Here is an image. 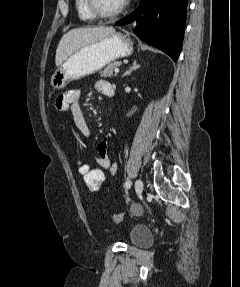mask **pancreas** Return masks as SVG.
Instances as JSON below:
<instances>
[{"label": "pancreas", "instance_id": "cf45deb5", "mask_svg": "<svg viewBox=\"0 0 240 287\" xmlns=\"http://www.w3.org/2000/svg\"><path fill=\"white\" fill-rule=\"evenodd\" d=\"M122 65V62L116 61L111 64H109L105 69L101 72V76L103 77H113L116 76V73H114V69L118 68Z\"/></svg>", "mask_w": 240, "mask_h": 287}]
</instances>
